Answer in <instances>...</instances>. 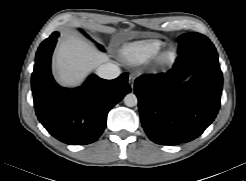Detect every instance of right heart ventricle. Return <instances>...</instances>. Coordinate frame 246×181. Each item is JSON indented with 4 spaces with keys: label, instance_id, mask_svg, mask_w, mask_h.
<instances>
[{
    "label": "right heart ventricle",
    "instance_id": "1",
    "mask_svg": "<svg viewBox=\"0 0 246 181\" xmlns=\"http://www.w3.org/2000/svg\"><path fill=\"white\" fill-rule=\"evenodd\" d=\"M162 47L163 43L160 40H142L125 47L121 53V56L130 64H140L157 56Z\"/></svg>",
    "mask_w": 246,
    "mask_h": 181
}]
</instances>
